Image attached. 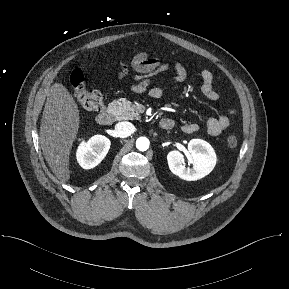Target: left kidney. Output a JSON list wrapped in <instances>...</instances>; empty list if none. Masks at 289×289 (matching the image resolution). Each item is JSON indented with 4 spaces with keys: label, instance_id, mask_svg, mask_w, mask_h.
<instances>
[{
    "label": "left kidney",
    "instance_id": "obj_1",
    "mask_svg": "<svg viewBox=\"0 0 289 289\" xmlns=\"http://www.w3.org/2000/svg\"><path fill=\"white\" fill-rule=\"evenodd\" d=\"M188 152L192 167H186L184 156L177 150L167 155L171 172L181 179L195 181L207 176L216 165V154L212 146L201 139H192L188 143Z\"/></svg>",
    "mask_w": 289,
    "mask_h": 289
}]
</instances>
